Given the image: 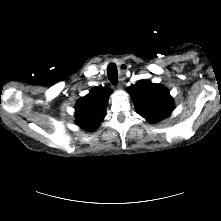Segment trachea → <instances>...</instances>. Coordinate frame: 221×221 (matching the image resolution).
Masks as SVG:
<instances>
[{
  "label": "trachea",
  "instance_id": "1",
  "mask_svg": "<svg viewBox=\"0 0 221 221\" xmlns=\"http://www.w3.org/2000/svg\"><path fill=\"white\" fill-rule=\"evenodd\" d=\"M107 75L109 81L116 85L118 83V72H117V66L114 63H110L107 67Z\"/></svg>",
  "mask_w": 221,
  "mask_h": 221
}]
</instances>
